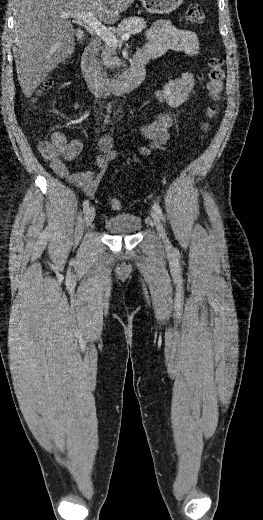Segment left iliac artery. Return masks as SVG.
Segmentation results:
<instances>
[{"mask_svg":"<svg viewBox=\"0 0 263 520\" xmlns=\"http://www.w3.org/2000/svg\"><path fill=\"white\" fill-rule=\"evenodd\" d=\"M153 208L159 214L160 218L163 220L164 217H163L162 210H161L160 206L157 203H154L153 204Z\"/></svg>","mask_w":263,"mask_h":520,"instance_id":"44dca946","label":"left iliac artery"}]
</instances>
